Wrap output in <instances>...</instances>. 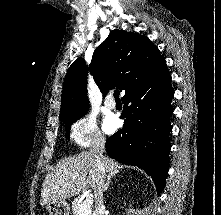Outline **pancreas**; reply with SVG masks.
<instances>
[{
  "label": "pancreas",
  "mask_w": 221,
  "mask_h": 215,
  "mask_svg": "<svg viewBox=\"0 0 221 215\" xmlns=\"http://www.w3.org/2000/svg\"><path fill=\"white\" fill-rule=\"evenodd\" d=\"M72 212L73 215H96L92 209V203L79 202L78 199L72 203Z\"/></svg>",
  "instance_id": "cf45deb5"
}]
</instances>
